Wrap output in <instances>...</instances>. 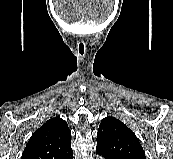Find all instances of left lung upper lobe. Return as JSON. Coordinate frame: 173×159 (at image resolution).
I'll use <instances>...</instances> for the list:
<instances>
[{
    "label": "left lung upper lobe",
    "instance_id": "left-lung-upper-lobe-1",
    "mask_svg": "<svg viewBox=\"0 0 173 159\" xmlns=\"http://www.w3.org/2000/svg\"><path fill=\"white\" fill-rule=\"evenodd\" d=\"M96 150L110 159H146L136 135L119 119H102L97 133Z\"/></svg>",
    "mask_w": 173,
    "mask_h": 159
}]
</instances>
